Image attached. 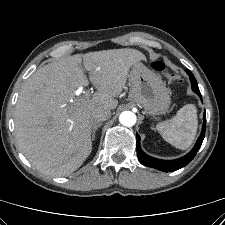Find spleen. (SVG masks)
<instances>
[{
  "instance_id": "3e777b00",
  "label": "spleen",
  "mask_w": 225,
  "mask_h": 225,
  "mask_svg": "<svg viewBox=\"0 0 225 225\" xmlns=\"http://www.w3.org/2000/svg\"><path fill=\"white\" fill-rule=\"evenodd\" d=\"M197 126L196 107L193 104H186L172 119L157 124L156 129L166 142L185 150L192 144Z\"/></svg>"
}]
</instances>
